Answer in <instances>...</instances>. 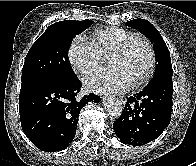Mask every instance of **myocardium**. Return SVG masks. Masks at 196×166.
<instances>
[{
	"label": "myocardium",
	"mask_w": 196,
	"mask_h": 166,
	"mask_svg": "<svg viewBox=\"0 0 196 166\" xmlns=\"http://www.w3.org/2000/svg\"><path fill=\"white\" fill-rule=\"evenodd\" d=\"M136 41H142L148 48L149 51V56H150V61H149V65L147 67V70L144 72V74L142 76H140L135 82H134V86L135 87H139L142 84H144L145 82H147L153 75L154 73V69H155V65H156V52L154 49V46L152 44V42L150 41L149 38H147L144 35L141 34H134L133 36L129 37L113 54L112 56H124L126 55L132 45L136 42Z\"/></svg>",
	"instance_id": "f54148a6"
}]
</instances>
